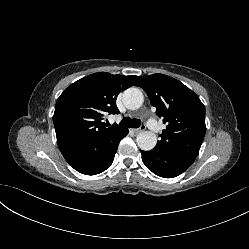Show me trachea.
<instances>
[{
  "label": "trachea",
  "mask_w": 249,
  "mask_h": 249,
  "mask_svg": "<svg viewBox=\"0 0 249 249\" xmlns=\"http://www.w3.org/2000/svg\"><path fill=\"white\" fill-rule=\"evenodd\" d=\"M141 125V120L125 117L121 120L120 126L124 128H138Z\"/></svg>",
  "instance_id": "trachea-1"
}]
</instances>
